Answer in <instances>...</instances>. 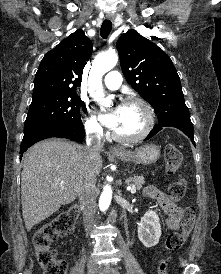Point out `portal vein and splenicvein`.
I'll return each instance as SVG.
<instances>
[{"mask_svg":"<svg viewBox=\"0 0 221 274\" xmlns=\"http://www.w3.org/2000/svg\"><path fill=\"white\" fill-rule=\"evenodd\" d=\"M128 189L131 191V193H135L136 192V188L134 185H132L131 187H128Z\"/></svg>","mask_w":221,"mask_h":274,"instance_id":"portal-vein-and-splenic-vein-1","label":"portal vein and splenic vein"}]
</instances>
